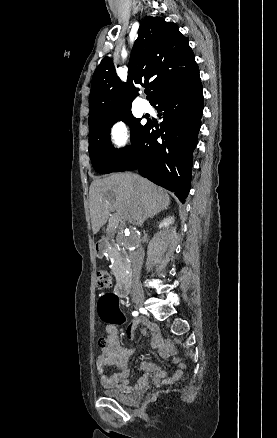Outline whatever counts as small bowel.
<instances>
[{"label": "small bowel", "instance_id": "c3829d8e", "mask_svg": "<svg viewBox=\"0 0 277 438\" xmlns=\"http://www.w3.org/2000/svg\"><path fill=\"white\" fill-rule=\"evenodd\" d=\"M106 344L101 347V352L96 359L97 365V375L100 377L101 384L106 388H116L123 393H129L132 390H140L146 386L150 378L153 376L156 380L167 379L165 373L155 366L150 359H145L142 362L143 374L140 380L133 386L128 385L129 368L128 362L131 355V350L123 345L120 340L119 331L115 326L106 327ZM149 335L152 336V342L157 343L159 355L162 358L167 357L169 350L172 349L173 344L170 341L163 342L162 336L158 335V331L154 328H150ZM127 332L129 336L133 335L134 327L128 326ZM140 335H144V332H140ZM148 335V332H145ZM161 343V344H160ZM174 361L177 363L178 368L176 373L171 378L172 381L179 379L186 368V365L181 361L180 358H175ZM106 365H114L118 368V371L110 374L104 373L103 368Z\"/></svg>", "mask_w": 277, "mask_h": 438}]
</instances>
